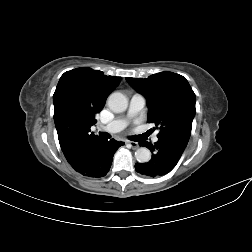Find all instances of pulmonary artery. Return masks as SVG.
<instances>
[{
    "mask_svg": "<svg viewBox=\"0 0 252 252\" xmlns=\"http://www.w3.org/2000/svg\"><path fill=\"white\" fill-rule=\"evenodd\" d=\"M146 99L141 94H134L129 103L128 111L125 115L117 117L112 122L106 125H100V129L109 133H116L124 129L128 123V120L136 116L145 106ZM158 138L155 136L154 141Z\"/></svg>",
    "mask_w": 252,
    "mask_h": 252,
    "instance_id": "e3ab8cb5",
    "label": "pulmonary artery"
}]
</instances>
